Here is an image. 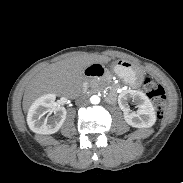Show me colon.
Returning a JSON list of instances; mask_svg holds the SVG:
<instances>
[{
  "mask_svg": "<svg viewBox=\"0 0 183 183\" xmlns=\"http://www.w3.org/2000/svg\"><path fill=\"white\" fill-rule=\"evenodd\" d=\"M145 94L153 101L156 112L162 117L166 107V93L164 88L151 78H146L143 82Z\"/></svg>",
  "mask_w": 183,
  "mask_h": 183,
  "instance_id": "obj_1",
  "label": "colon"
}]
</instances>
